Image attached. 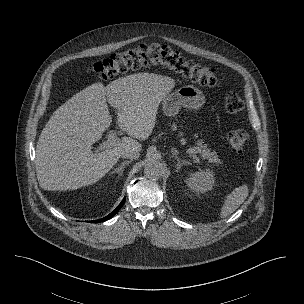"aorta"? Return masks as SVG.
<instances>
[{
    "label": "aorta",
    "instance_id": "1",
    "mask_svg": "<svg viewBox=\"0 0 304 304\" xmlns=\"http://www.w3.org/2000/svg\"><path fill=\"white\" fill-rule=\"evenodd\" d=\"M164 173L163 164L156 159H150L144 168V174L150 179H159Z\"/></svg>",
    "mask_w": 304,
    "mask_h": 304
}]
</instances>
